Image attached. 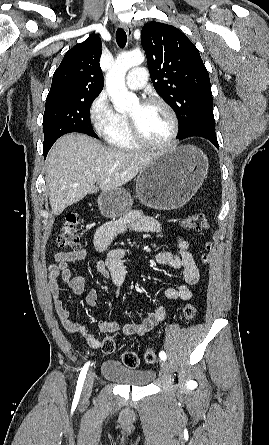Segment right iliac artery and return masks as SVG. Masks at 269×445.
Here are the masks:
<instances>
[{"instance_id":"right-iliac-artery-1","label":"right iliac artery","mask_w":269,"mask_h":445,"mask_svg":"<svg viewBox=\"0 0 269 445\" xmlns=\"http://www.w3.org/2000/svg\"><path fill=\"white\" fill-rule=\"evenodd\" d=\"M88 367H89V362H87L84 365V367L82 368V370L80 372V375H79V378H78V381H77V387H76V391H78V392H81V390H82L83 383H84L85 378H86Z\"/></svg>"}]
</instances>
